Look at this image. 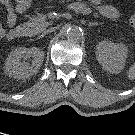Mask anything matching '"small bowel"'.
<instances>
[{
  "mask_svg": "<svg viewBox=\"0 0 135 135\" xmlns=\"http://www.w3.org/2000/svg\"><path fill=\"white\" fill-rule=\"evenodd\" d=\"M93 2L103 17L107 19H116L119 16L118 10L111 5L104 4L103 0H93ZM0 3L7 11L6 26H3L0 22V37L5 35L12 37L16 29V14H21L26 11L28 0H15V2L11 0H0Z\"/></svg>",
  "mask_w": 135,
  "mask_h": 135,
  "instance_id": "1",
  "label": "small bowel"
}]
</instances>
